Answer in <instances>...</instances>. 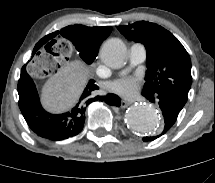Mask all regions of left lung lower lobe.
<instances>
[{"mask_svg":"<svg viewBox=\"0 0 215 183\" xmlns=\"http://www.w3.org/2000/svg\"><path fill=\"white\" fill-rule=\"evenodd\" d=\"M143 96L147 97L150 101H158L159 107L162 110L163 116H164V130L163 132L158 136L153 137H144L143 140L145 142L152 141L159 136L165 134L175 123L177 120L179 112L184 107L185 103H183L180 99H178L176 96L168 94V93H160L157 95H145L142 93Z\"/></svg>","mask_w":215,"mask_h":183,"instance_id":"0a47b994","label":"left lung lower lobe"}]
</instances>
